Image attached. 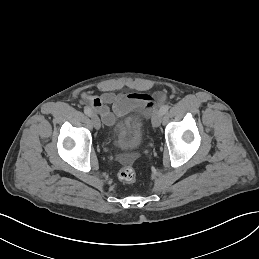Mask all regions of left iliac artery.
Instances as JSON below:
<instances>
[{"instance_id":"1","label":"left iliac artery","mask_w":259,"mask_h":259,"mask_svg":"<svg viewBox=\"0 0 259 259\" xmlns=\"http://www.w3.org/2000/svg\"><path fill=\"white\" fill-rule=\"evenodd\" d=\"M168 110H169V105L167 104V105H163L161 108H160V113L162 114V115H164L165 113H167L168 112Z\"/></svg>"}]
</instances>
